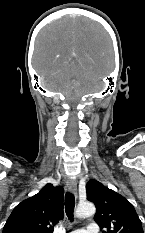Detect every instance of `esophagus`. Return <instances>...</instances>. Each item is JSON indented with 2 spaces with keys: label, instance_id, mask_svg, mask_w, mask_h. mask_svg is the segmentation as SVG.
Listing matches in <instances>:
<instances>
[{
  "label": "esophagus",
  "instance_id": "1",
  "mask_svg": "<svg viewBox=\"0 0 145 233\" xmlns=\"http://www.w3.org/2000/svg\"><path fill=\"white\" fill-rule=\"evenodd\" d=\"M66 186L69 192L77 196V183L74 179L68 178L66 181Z\"/></svg>",
  "mask_w": 145,
  "mask_h": 233
}]
</instances>
